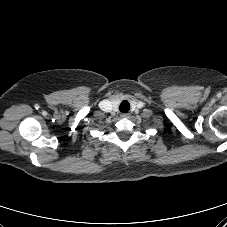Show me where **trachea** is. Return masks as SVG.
I'll list each match as a JSON object with an SVG mask.
<instances>
[{
  "mask_svg": "<svg viewBox=\"0 0 227 227\" xmlns=\"http://www.w3.org/2000/svg\"><path fill=\"white\" fill-rule=\"evenodd\" d=\"M120 111L121 112H128L129 109H130V104L127 102V101H123L121 104H120V107H119Z\"/></svg>",
  "mask_w": 227,
  "mask_h": 227,
  "instance_id": "3493384b",
  "label": "trachea"
}]
</instances>
